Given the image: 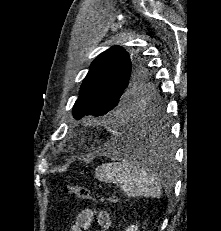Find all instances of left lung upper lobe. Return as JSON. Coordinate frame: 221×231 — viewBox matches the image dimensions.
I'll return each instance as SVG.
<instances>
[{"label": "left lung upper lobe", "mask_w": 221, "mask_h": 231, "mask_svg": "<svg viewBox=\"0 0 221 231\" xmlns=\"http://www.w3.org/2000/svg\"><path fill=\"white\" fill-rule=\"evenodd\" d=\"M74 104L76 119L111 116L132 105H142L148 114L159 117L162 111L160 90L151 79L144 59L120 46L101 53L91 63Z\"/></svg>", "instance_id": "5c2ea615"}]
</instances>
